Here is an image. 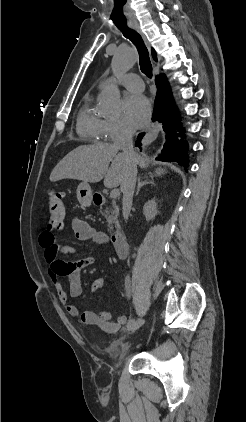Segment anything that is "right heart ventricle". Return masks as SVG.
Returning <instances> with one entry per match:
<instances>
[{
	"instance_id": "1",
	"label": "right heart ventricle",
	"mask_w": 246,
	"mask_h": 422,
	"mask_svg": "<svg viewBox=\"0 0 246 422\" xmlns=\"http://www.w3.org/2000/svg\"><path fill=\"white\" fill-rule=\"evenodd\" d=\"M103 122L104 119L95 112L92 106V98L85 97L77 118L78 133L92 141H98L103 138Z\"/></svg>"
}]
</instances>
